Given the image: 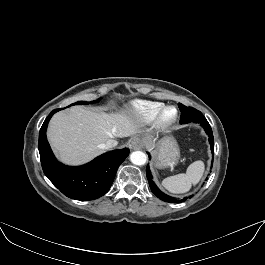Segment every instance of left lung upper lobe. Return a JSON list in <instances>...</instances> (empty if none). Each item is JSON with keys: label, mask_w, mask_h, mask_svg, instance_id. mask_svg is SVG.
<instances>
[{"label": "left lung upper lobe", "mask_w": 265, "mask_h": 265, "mask_svg": "<svg viewBox=\"0 0 265 265\" xmlns=\"http://www.w3.org/2000/svg\"><path fill=\"white\" fill-rule=\"evenodd\" d=\"M178 106L180 111L182 112L180 119L181 124L189 123L196 118L203 117V114L197 109H194L192 107H187L181 103H179Z\"/></svg>", "instance_id": "5c2ea615"}]
</instances>
